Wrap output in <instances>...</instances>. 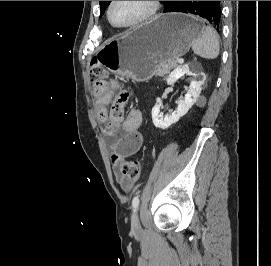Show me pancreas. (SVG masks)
I'll return each instance as SVG.
<instances>
[{
	"instance_id": "obj_1",
	"label": "pancreas",
	"mask_w": 271,
	"mask_h": 266,
	"mask_svg": "<svg viewBox=\"0 0 271 266\" xmlns=\"http://www.w3.org/2000/svg\"><path fill=\"white\" fill-rule=\"evenodd\" d=\"M177 66V61L175 60H167L162 62L158 68L155 71V74L157 76H164L165 74H168L171 69L175 68Z\"/></svg>"
}]
</instances>
